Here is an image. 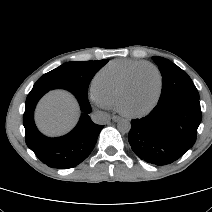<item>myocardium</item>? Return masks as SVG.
Wrapping results in <instances>:
<instances>
[{"mask_svg":"<svg viewBox=\"0 0 212 212\" xmlns=\"http://www.w3.org/2000/svg\"><path fill=\"white\" fill-rule=\"evenodd\" d=\"M143 68H151L157 74L158 80H159V87H158L157 96H156L155 100L153 101V103L150 105V107H148L146 110L138 112V113H130V112H127L123 109V107H122L123 100H124L128 90H129V88H130V86L133 82V79H134L136 73ZM162 89H163V76H162L161 71L154 64L149 63V62H145V63L140 64L137 67H135L128 74V76L125 79V81H124V83H123V85L120 89V92L118 94L117 101H116V107L119 110V112H121L123 115H125L127 117H130V118L142 117V116L148 114L150 111H152L154 109V107L157 105V103H158V101L161 97V94H162Z\"/></svg>","mask_w":212,"mask_h":212,"instance_id":"myocardium-1","label":"myocardium"}]
</instances>
